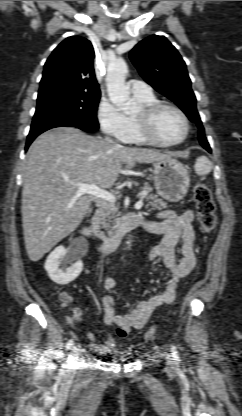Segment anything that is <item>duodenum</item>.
Instances as JSON below:
<instances>
[{
  "label": "duodenum",
  "mask_w": 242,
  "mask_h": 416,
  "mask_svg": "<svg viewBox=\"0 0 242 416\" xmlns=\"http://www.w3.org/2000/svg\"><path fill=\"white\" fill-rule=\"evenodd\" d=\"M142 225L143 221L140 217L128 215L114 227L112 233L104 240H100L94 236L86 224L80 226L79 233L81 236L93 240L102 253L109 254L117 248L119 242L126 233Z\"/></svg>",
  "instance_id": "obj_1"
}]
</instances>
